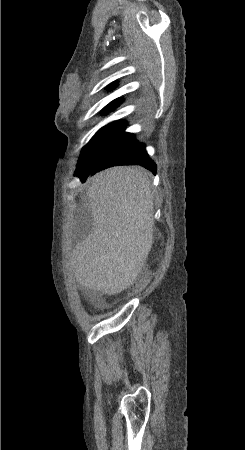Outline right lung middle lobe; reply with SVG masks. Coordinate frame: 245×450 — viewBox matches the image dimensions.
<instances>
[{
    "label": "right lung middle lobe",
    "mask_w": 245,
    "mask_h": 450,
    "mask_svg": "<svg viewBox=\"0 0 245 450\" xmlns=\"http://www.w3.org/2000/svg\"><path fill=\"white\" fill-rule=\"evenodd\" d=\"M111 110L113 109H105L104 112ZM124 130L125 123L122 121L102 127L91 139L92 148L81 152L75 174L95 166L106 153L115 152L127 145L132 140L133 134Z\"/></svg>",
    "instance_id": "1"
}]
</instances>
